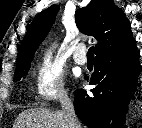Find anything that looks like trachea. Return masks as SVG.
I'll use <instances>...</instances> for the list:
<instances>
[{
	"label": "trachea",
	"instance_id": "trachea-1",
	"mask_svg": "<svg viewBox=\"0 0 142 128\" xmlns=\"http://www.w3.org/2000/svg\"><path fill=\"white\" fill-rule=\"evenodd\" d=\"M87 57L90 59H94V47H90L87 52Z\"/></svg>",
	"mask_w": 142,
	"mask_h": 128
}]
</instances>
